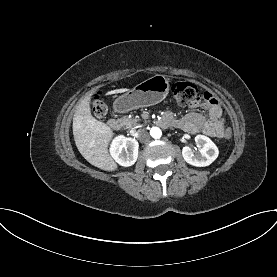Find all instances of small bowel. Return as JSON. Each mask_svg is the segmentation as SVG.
<instances>
[{
	"mask_svg": "<svg viewBox=\"0 0 277 277\" xmlns=\"http://www.w3.org/2000/svg\"><path fill=\"white\" fill-rule=\"evenodd\" d=\"M191 108H203L207 115L190 112L181 118H174L166 113L162 119L163 124H171L186 132L203 133L210 137H223L225 127V114L219 101L209 92H204L201 99L190 103Z\"/></svg>",
	"mask_w": 277,
	"mask_h": 277,
	"instance_id": "1",
	"label": "small bowel"
}]
</instances>
